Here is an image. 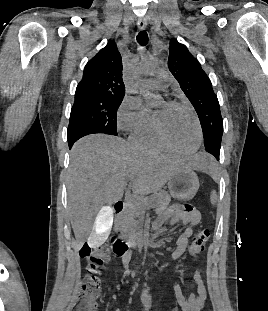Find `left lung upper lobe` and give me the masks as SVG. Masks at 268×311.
I'll return each instance as SVG.
<instances>
[{
  "label": "left lung upper lobe",
  "mask_w": 268,
  "mask_h": 311,
  "mask_svg": "<svg viewBox=\"0 0 268 311\" xmlns=\"http://www.w3.org/2000/svg\"><path fill=\"white\" fill-rule=\"evenodd\" d=\"M168 68L198 114L205 148L220 149L223 119L217 96L198 60L176 39L170 41Z\"/></svg>",
  "instance_id": "1"
}]
</instances>
